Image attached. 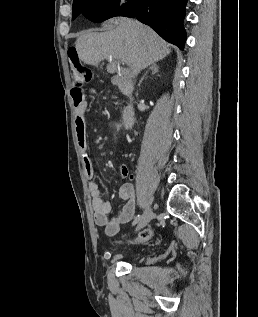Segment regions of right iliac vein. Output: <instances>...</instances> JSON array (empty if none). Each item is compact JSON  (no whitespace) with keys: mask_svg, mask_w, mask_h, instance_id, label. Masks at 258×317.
I'll use <instances>...</instances> for the list:
<instances>
[{"mask_svg":"<svg viewBox=\"0 0 258 317\" xmlns=\"http://www.w3.org/2000/svg\"><path fill=\"white\" fill-rule=\"evenodd\" d=\"M153 216H154V213H153L152 207L150 205H147L145 207L143 216H142L141 220L139 221V224H137V227H135V233L134 234L135 235L137 234L136 231H137L138 228L142 229V227H145L146 224L151 221ZM139 232H140V230H139Z\"/></svg>","mask_w":258,"mask_h":317,"instance_id":"1","label":"right iliac vein"}]
</instances>
